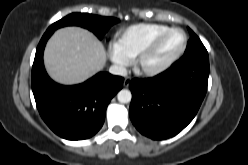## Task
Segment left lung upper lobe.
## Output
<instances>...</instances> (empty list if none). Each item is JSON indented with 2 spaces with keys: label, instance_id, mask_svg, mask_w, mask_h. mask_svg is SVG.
<instances>
[{
  "label": "left lung upper lobe",
  "instance_id": "5c2ea615",
  "mask_svg": "<svg viewBox=\"0 0 248 165\" xmlns=\"http://www.w3.org/2000/svg\"><path fill=\"white\" fill-rule=\"evenodd\" d=\"M188 30L191 38L188 41L185 53H189L196 49L205 48L199 37L190 28H188Z\"/></svg>",
  "mask_w": 248,
  "mask_h": 165
}]
</instances>
